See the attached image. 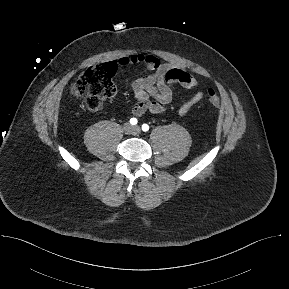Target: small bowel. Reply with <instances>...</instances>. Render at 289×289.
Segmentation results:
<instances>
[{
	"mask_svg": "<svg viewBox=\"0 0 289 289\" xmlns=\"http://www.w3.org/2000/svg\"><path fill=\"white\" fill-rule=\"evenodd\" d=\"M117 64L121 67L142 65L149 70L147 75L135 79L131 84L135 97L132 108L134 116H141L145 112L159 115L175 111L179 117H184L204 97L198 79L183 69L162 63L153 55L143 53L125 55L119 58ZM176 85L198 90L189 99H182L178 106H174L173 88Z\"/></svg>",
	"mask_w": 289,
	"mask_h": 289,
	"instance_id": "c3829d8e",
	"label": "small bowel"
}]
</instances>
